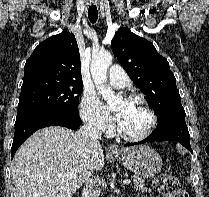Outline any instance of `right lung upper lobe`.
<instances>
[{"label":"right lung upper lobe","mask_w":209,"mask_h":197,"mask_svg":"<svg viewBox=\"0 0 209 197\" xmlns=\"http://www.w3.org/2000/svg\"><path fill=\"white\" fill-rule=\"evenodd\" d=\"M35 80L82 83L79 49L72 33L51 36L35 48L25 64L23 84Z\"/></svg>","instance_id":"obj_1"}]
</instances>
